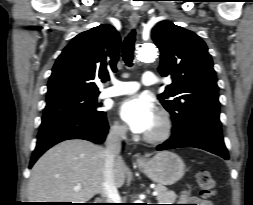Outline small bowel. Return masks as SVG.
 Segmentation results:
<instances>
[{
    "label": "small bowel",
    "mask_w": 253,
    "mask_h": 205,
    "mask_svg": "<svg viewBox=\"0 0 253 205\" xmlns=\"http://www.w3.org/2000/svg\"><path fill=\"white\" fill-rule=\"evenodd\" d=\"M181 200L182 202H185V203H194V204H184V205H212L209 201L193 197L189 195L188 193H184L181 197Z\"/></svg>",
    "instance_id": "c3829d8e"
}]
</instances>
